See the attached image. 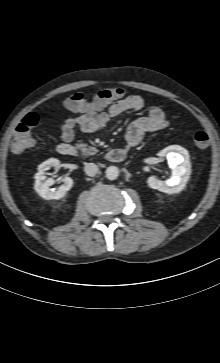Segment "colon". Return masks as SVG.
<instances>
[{
	"mask_svg": "<svg viewBox=\"0 0 220 363\" xmlns=\"http://www.w3.org/2000/svg\"><path fill=\"white\" fill-rule=\"evenodd\" d=\"M127 90L121 87L106 88L97 91L92 95V100H95L100 105H107L126 97ZM87 97L80 92L71 94L65 100V106L74 111L82 110ZM39 124V116L35 112L28 113L15 128L14 136L11 142V148L14 152L20 153L26 151L35 145L36 139L32 134L33 129ZM194 141L199 147H207L210 142L209 135L205 131H197L194 134Z\"/></svg>",
	"mask_w": 220,
	"mask_h": 363,
	"instance_id": "obj_1",
	"label": "colon"
}]
</instances>
